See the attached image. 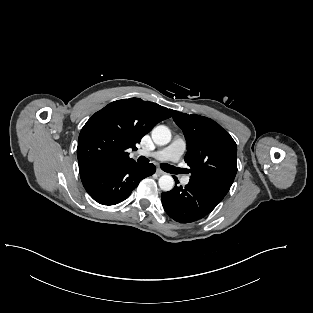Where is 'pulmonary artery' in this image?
<instances>
[{
	"instance_id": "1",
	"label": "pulmonary artery",
	"mask_w": 313,
	"mask_h": 313,
	"mask_svg": "<svg viewBox=\"0 0 313 313\" xmlns=\"http://www.w3.org/2000/svg\"><path fill=\"white\" fill-rule=\"evenodd\" d=\"M186 148L185 141L180 138L176 137L174 140L171 142L170 145L167 147L154 151V152H146V151H141L140 153L142 155L150 156L153 157L157 160L160 161H172V162H177L182 154L184 153ZM190 181V178L188 176H185L181 179V182L183 185H187Z\"/></svg>"
}]
</instances>
